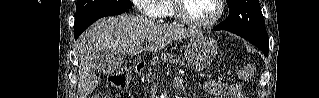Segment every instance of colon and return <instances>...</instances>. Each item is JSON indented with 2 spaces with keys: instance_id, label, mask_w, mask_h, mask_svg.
Listing matches in <instances>:
<instances>
[{
  "instance_id": "obj_1",
  "label": "colon",
  "mask_w": 319,
  "mask_h": 98,
  "mask_svg": "<svg viewBox=\"0 0 319 98\" xmlns=\"http://www.w3.org/2000/svg\"><path fill=\"white\" fill-rule=\"evenodd\" d=\"M245 72H241L240 76L244 77ZM129 72L127 69H122L116 73H114L110 78H109V82L110 84L118 89H124L127 84L129 83ZM94 98H103L102 95H95ZM117 98H130L129 93L127 92H121L117 95Z\"/></svg>"
}]
</instances>
